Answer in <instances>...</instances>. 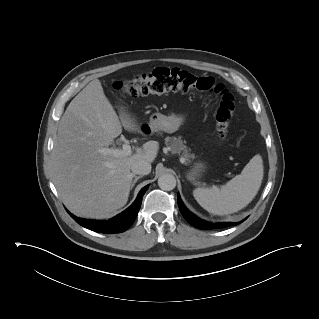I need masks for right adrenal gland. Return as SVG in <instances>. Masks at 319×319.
<instances>
[{
  "label": "right adrenal gland",
  "mask_w": 319,
  "mask_h": 319,
  "mask_svg": "<svg viewBox=\"0 0 319 319\" xmlns=\"http://www.w3.org/2000/svg\"><path fill=\"white\" fill-rule=\"evenodd\" d=\"M143 176H136L132 182V185H131V190L133 189V187L135 186L137 180H139L140 178H142Z\"/></svg>",
  "instance_id": "obj_1"
}]
</instances>
